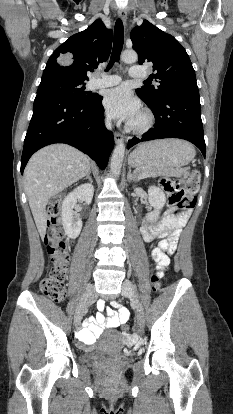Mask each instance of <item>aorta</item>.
<instances>
[{
  "label": "aorta",
  "mask_w": 233,
  "mask_h": 414,
  "mask_svg": "<svg viewBox=\"0 0 233 414\" xmlns=\"http://www.w3.org/2000/svg\"><path fill=\"white\" fill-rule=\"evenodd\" d=\"M121 59L123 62L132 64L135 63L138 59V55L133 50H126L121 54ZM125 154V145L122 141H120L117 146L115 147L112 157H111V173L117 177L121 173L122 162Z\"/></svg>",
  "instance_id": "1"
}]
</instances>
